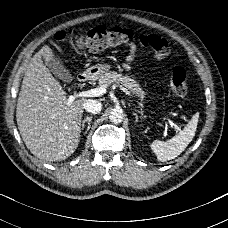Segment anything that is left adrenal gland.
<instances>
[{
	"label": "left adrenal gland",
	"instance_id": "a2214340",
	"mask_svg": "<svg viewBox=\"0 0 228 228\" xmlns=\"http://www.w3.org/2000/svg\"><path fill=\"white\" fill-rule=\"evenodd\" d=\"M133 115L135 116V121L138 122V115H137V113H133Z\"/></svg>",
	"mask_w": 228,
	"mask_h": 228
}]
</instances>
